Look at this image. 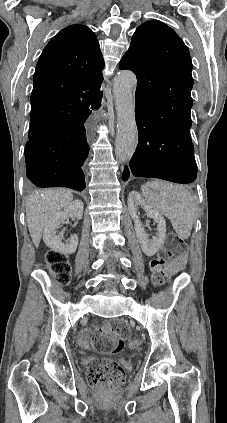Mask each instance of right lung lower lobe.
Instances as JSON below:
<instances>
[{
  "label": "right lung lower lobe",
  "instance_id": "obj_1",
  "mask_svg": "<svg viewBox=\"0 0 227 423\" xmlns=\"http://www.w3.org/2000/svg\"><path fill=\"white\" fill-rule=\"evenodd\" d=\"M99 107L100 100L85 97L70 102L31 103V122H66L62 129L26 144V174L35 186L85 189L83 169L89 153L85 127L89 115Z\"/></svg>",
  "mask_w": 227,
  "mask_h": 423
}]
</instances>
